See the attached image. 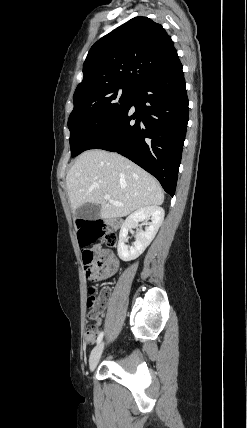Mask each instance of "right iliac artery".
I'll return each instance as SVG.
<instances>
[{"instance_id": "right-iliac-artery-1", "label": "right iliac artery", "mask_w": 247, "mask_h": 428, "mask_svg": "<svg viewBox=\"0 0 247 428\" xmlns=\"http://www.w3.org/2000/svg\"><path fill=\"white\" fill-rule=\"evenodd\" d=\"M102 338H103V332H101L99 335H98V337H97V344H99L100 342H101V340H102Z\"/></svg>"}]
</instances>
